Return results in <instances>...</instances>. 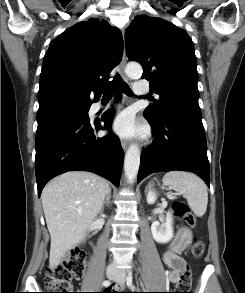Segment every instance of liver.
<instances>
[{
    "label": "liver",
    "instance_id": "6515ba94",
    "mask_svg": "<svg viewBox=\"0 0 245 293\" xmlns=\"http://www.w3.org/2000/svg\"><path fill=\"white\" fill-rule=\"evenodd\" d=\"M109 190L104 178L83 171L66 172L44 187L41 198L51 237L49 264L52 269L85 240Z\"/></svg>",
    "mask_w": 245,
    "mask_h": 293
}]
</instances>
